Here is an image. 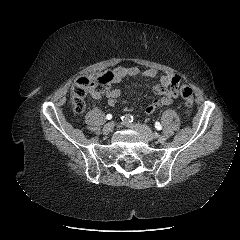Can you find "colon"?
Wrapping results in <instances>:
<instances>
[{
    "mask_svg": "<svg viewBox=\"0 0 240 240\" xmlns=\"http://www.w3.org/2000/svg\"><path fill=\"white\" fill-rule=\"evenodd\" d=\"M112 81L110 72L93 74L88 77L79 78L71 89V100L73 110L76 114L83 113L85 109L84 98L87 94L99 95L103 93L108 84ZM179 85L174 84L177 90ZM179 93L185 102V113L189 115L193 108L194 97L192 89L189 86L182 85L179 88Z\"/></svg>",
    "mask_w": 240,
    "mask_h": 240,
    "instance_id": "obj_1",
    "label": "colon"
}]
</instances>
